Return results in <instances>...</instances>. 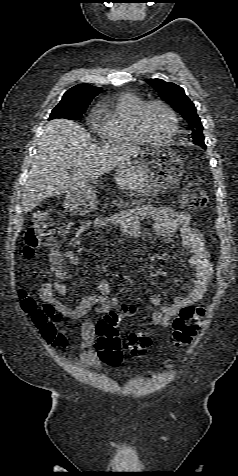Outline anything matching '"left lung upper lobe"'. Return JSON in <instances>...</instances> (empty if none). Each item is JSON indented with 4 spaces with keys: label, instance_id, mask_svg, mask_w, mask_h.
Segmentation results:
<instances>
[{
    "label": "left lung upper lobe",
    "instance_id": "left-lung-upper-lobe-1",
    "mask_svg": "<svg viewBox=\"0 0 238 476\" xmlns=\"http://www.w3.org/2000/svg\"><path fill=\"white\" fill-rule=\"evenodd\" d=\"M149 84L159 93L160 97L169 103L191 125V137L195 144L206 147L203 136V126L197 115L193 102L185 95L184 89L162 79H150Z\"/></svg>",
    "mask_w": 238,
    "mask_h": 476
}]
</instances>
